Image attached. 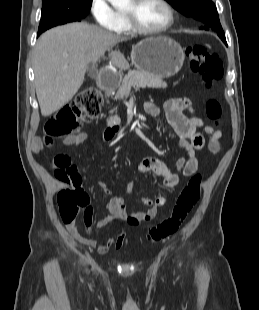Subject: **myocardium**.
<instances>
[{"label":"myocardium","instance_id":"myocardium-1","mask_svg":"<svg viewBox=\"0 0 259 310\" xmlns=\"http://www.w3.org/2000/svg\"><path fill=\"white\" fill-rule=\"evenodd\" d=\"M158 1L167 10V13H168L167 22L159 28H155V29L146 28V27L141 26L137 22L135 14L133 11H125L124 15H125V18L127 20L128 26H129L131 31L139 33V34H143V35H160V34L167 32L168 30H170L173 27V25L175 24V21H176V14H175V10H174L173 6L170 4V2L168 0H158ZM133 2L135 4V6H137L138 4L143 2V0H133Z\"/></svg>","mask_w":259,"mask_h":310}]
</instances>
